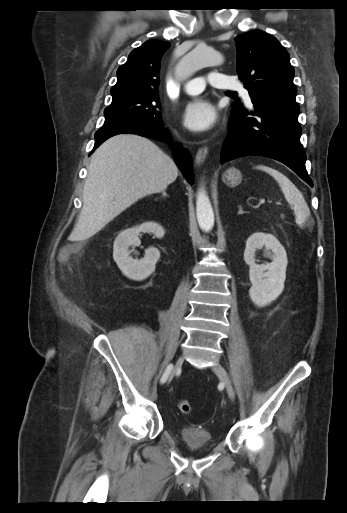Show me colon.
<instances>
[{
	"mask_svg": "<svg viewBox=\"0 0 347 513\" xmlns=\"http://www.w3.org/2000/svg\"><path fill=\"white\" fill-rule=\"evenodd\" d=\"M70 259V253L68 251L63 252V261L67 262ZM178 409L185 415L192 413V406L186 399H179L177 403Z\"/></svg>",
	"mask_w": 347,
	"mask_h": 513,
	"instance_id": "5ec220e1",
	"label": "colon"
}]
</instances>
